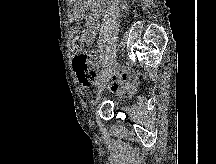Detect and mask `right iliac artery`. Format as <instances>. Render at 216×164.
I'll return each instance as SVG.
<instances>
[{"label":"right iliac artery","mask_w":216,"mask_h":164,"mask_svg":"<svg viewBox=\"0 0 216 164\" xmlns=\"http://www.w3.org/2000/svg\"><path fill=\"white\" fill-rule=\"evenodd\" d=\"M109 69H107V68H104L103 69V72H101V76L99 77V81H103L104 80V77H106V73L108 72V70H110L113 66H112V62L110 61L109 63ZM99 84V83H98Z\"/></svg>","instance_id":"1"}]
</instances>
